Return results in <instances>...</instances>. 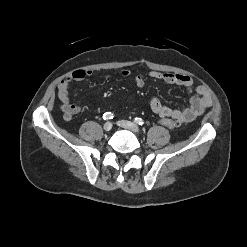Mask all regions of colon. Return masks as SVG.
Returning a JSON list of instances; mask_svg holds the SVG:
<instances>
[{"instance_id": "5ec220e1", "label": "colon", "mask_w": 247, "mask_h": 247, "mask_svg": "<svg viewBox=\"0 0 247 247\" xmlns=\"http://www.w3.org/2000/svg\"><path fill=\"white\" fill-rule=\"evenodd\" d=\"M159 123L167 129H173L178 126V122L170 118H162Z\"/></svg>"}]
</instances>
